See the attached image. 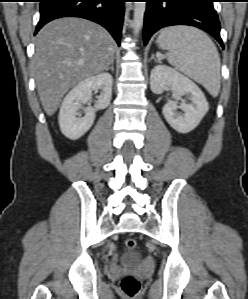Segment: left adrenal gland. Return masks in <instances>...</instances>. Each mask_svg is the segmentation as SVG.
Here are the masks:
<instances>
[{"instance_id":"1","label":"left adrenal gland","mask_w":248,"mask_h":299,"mask_svg":"<svg viewBox=\"0 0 248 299\" xmlns=\"http://www.w3.org/2000/svg\"><path fill=\"white\" fill-rule=\"evenodd\" d=\"M150 60H155L157 63H160V61L154 56V54L151 55Z\"/></svg>"}]
</instances>
